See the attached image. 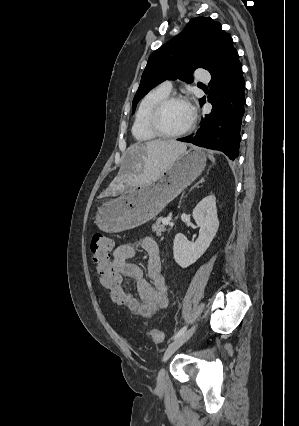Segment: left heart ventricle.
<instances>
[{
	"instance_id": "1",
	"label": "left heart ventricle",
	"mask_w": 299,
	"mask_h": 426,
	"mask_svg": "<svg viewBox=\"0 0 299 426\" xmlns=\"http://www.w3.org/2000/svg\"><path fill=\"white\" fill-rule=\"evenodd\" d=\"M189 105L184 102L169 104L162 114V125L168 132H178L191 121Z\"/></svg>"
}]
</instances>
